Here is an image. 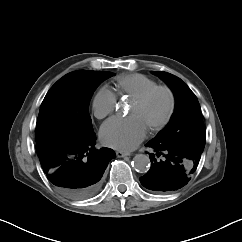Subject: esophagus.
I'll list each match as a JSON object with an SVG mask.
<instances>
[{"mask_svg":"<svg viewBox=\"0 0 242 242\" xmlns=\"http://www.w3.org/2000/svg\"><path fill=\"white\" fill-rule=\"evenodd\" d=\"M116 155H117V157H119V158L126 157V156H130L129 153H125V152H122V151H117V152H116Z\"/></svg>","mask_w":242,"mask_h":242,"instance_id":"obj_1","label":"esophagus"}]
</instances>
